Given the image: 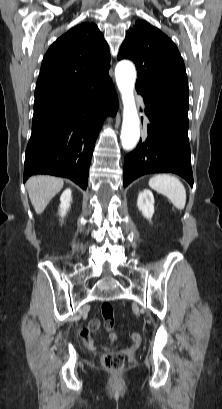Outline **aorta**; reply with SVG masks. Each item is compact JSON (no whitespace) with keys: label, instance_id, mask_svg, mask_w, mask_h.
<instances>
[{"label":"aorta","instance_id":"aorta-1","mask_svg":"<svg viewBox=\"0 0 222 409\" xmlns=\"http://www.w3.org/2000/svg\"><path fill=\"white\" fill-rule=\"evenodd\" d=\"M116 83L123 102L121 144L124 150L136 147L140 138V120L134 99L136 71L129 61H120L115 68Z\"/></svg>","mask_w":222,"mask_h":409}]
</instances>
